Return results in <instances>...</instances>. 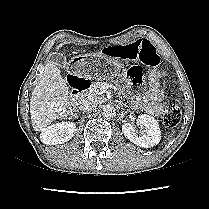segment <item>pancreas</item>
I'll return each mask as SVG.
<instances>
[{"instance_id": "obj_1", "label": "pancreas", "mask_w": 209, "mask_h": 209, "mask_svg": "<svg viewBox=\"0 0 209 209\" xmlns=\"http://www.w3.org/2000/svg\"><path fill=\"white\" fill-rule=\"evenodd\" d=\"M103 84V82H94L89 91L87 92V96L95 97L100 95V88Z\"/></svg>"}]
</instances>
